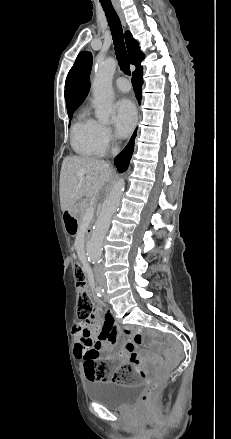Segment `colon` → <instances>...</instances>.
Returning a JSON list of instances; mask_svg holds the SVG:
<instances>
[{"label": "colon", "mask_w": 231, "mask_h": 439, "mask_svg": "<svg viewBox=\"0 0 231 439\" xmlns=\"http://www.w3.org/2000/svg\"><path fill=\"white\" fill-rule=\"evenodd\" d=\"M74 276L78 291L77 315L82 321H89L93 314V301L87 291L86 274L80 264L75 265ZM132 330L125 328L124 331ZM84 368L86 376L91 381L111 380L118 384H130L136 380L135 373L138 369L129 365H120L113 372L110 371V363L99 361L93 353H88L85 357ZM162 378H147L146 388L140 397V404H149L157 394L161 386Z\"/></svg>", "instance_id": "obj_1"}]
</instances>
